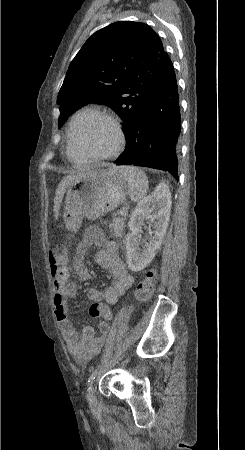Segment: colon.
Returning a JSON list of instances; mask_svg holds the SVG:
<instances>
[{
  "label": "colon",
  "mask_w": 245,
  "mask_h": 450,
  "mask_svg": "<svg viewBox=\"0 0 245 450\" xmlns=\"http://www.w3.org/2000/svg\"><path fill=\"white\" fill-rule=\"evenodd\" d=\"M50 265L53 270L60 267L63 263L62 254L56 245L52 246L49 252ZM155 282L154 270H147L144 278L138 283L134 290V301L137 303H145L149 301L153 295ZM90 316L95 320L107 321L112 317L110 307L104 302H95L90 306Z\"/></svg>",
  "instance_id": "obj_1"
}]
</instances>
